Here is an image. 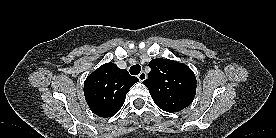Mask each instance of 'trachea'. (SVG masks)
I'll return each instance as SVG.
<instances>
[{
    "label": "trachea",
    "instance_id": "3493384b",
    "mask_svg": "<svg viewBox=\"0 0 276 138\" xmlns=\"http://www.w3.org/2000/svg\"><path fill=\"white\" fill-rule=\"evenodd\" d=\"M129 71L131 75H138L141 71V66L139 64L133 65Z\"/></svg>",
    "mask_w": 276,
    "mask_h": 138
}]
</instances>
